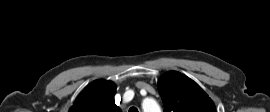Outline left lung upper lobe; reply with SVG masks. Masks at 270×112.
I'll return each instance as SVG.
<instances>
[{
  "mask_svg": "<svg viewBox=\"0 0 270 112\" xmlns=\"http://www.w3.org/2000/svg\"><path fill=\"white\" fill-rule=\"evenodd\" d=\"M158 89L164 112H216L213 101L200 86L179 72L164 74Z\"/></svg>",
  "mask_w": 270,
  "mask_h": 112,
  "instance_id": "5c2ea615",
  "label": "left lung upper lobe"
}]
</instances>
